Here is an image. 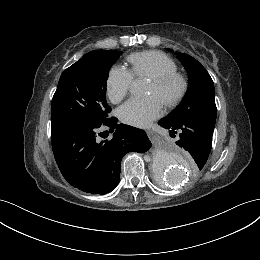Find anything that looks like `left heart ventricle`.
<instances>
[{
  "mask_svg": "<svg viewBox=\"0 0 260 260\" xmlns=\"http://www.w3.org/2000/svg\"><path fill=\"white\" fill-rule=\"evenodd\" d=\"M173 90V85L163 89V90H158L154 84L152 82H149L148 84V89H147V93L148 94H152L157 96L161 101L164 100V97L170 93Z\"/></svg>",
  "mask_w": 260,
  "mask_h": 260,
  "instance_id": "b2bd125f",
  "label": "left heart ventricle"
}]
</instances>
